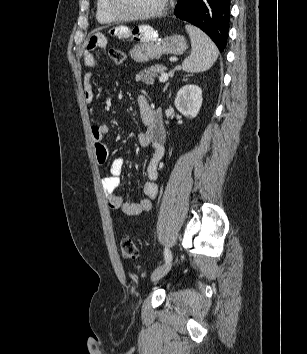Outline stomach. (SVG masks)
<instances>
[{
  "label": "stomach",
  "instance_id": "obj_1",
  "mask_svg": "<svg viewBox=\"0 0 307 354\" xmlns=\"http://www.w3.org/2000/svg\"><path fill=\"white\" fill-rule=\"evenodd\" d=\"M130 31H134V38L131 39L136 42L131 57L139 63L158 59L165 54L180 55L187 49L185 38L178 34L158 39L157 32L149 25H140Z\"/></svg>",
  "mask_w": 307,
  "mask_h": 354
}]
</instances>
